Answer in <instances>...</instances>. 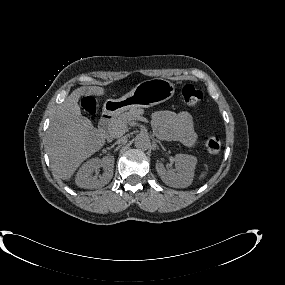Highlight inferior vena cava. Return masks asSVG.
Returning a JSON list of instances; mask_svg holds the SVG:
<instances>
[{"mask_svg": "<svg viewBox=\"0 0 285 285\" xmlns=\"http://www.w3.org/2000/svg\"><path fill=\"white\" fill-rule=\"evenodd\" d=\"M129 142V137L126 134H121L116 141L117 144L126 145Z\"/></svg>", "mask_w": 285, "mask_h": 285, "instance_id": "inferior-vena-cava-1", "label": "inferior vena cava"}]
</instances>
